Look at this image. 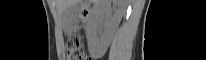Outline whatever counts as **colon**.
Listing matches in <instances>:
<instances>
[{"instance_id":"5ec220e1","label":"colon","mask_w":206,"mask_h":60,"mask_svg":"<svg viewBox=\"0 0 206 60\" xmlns=\"http://www.w3.org/2000/svg\"><path fill=\"white\" fill-rule=\"evenodd\" d=\"M66 54L69 60H90L83 51L82 41L79 36H73L68 40Z\"/></svg>"}]
</instances>
